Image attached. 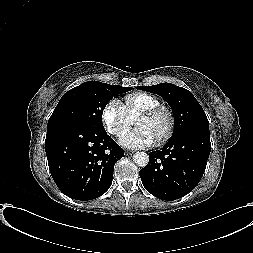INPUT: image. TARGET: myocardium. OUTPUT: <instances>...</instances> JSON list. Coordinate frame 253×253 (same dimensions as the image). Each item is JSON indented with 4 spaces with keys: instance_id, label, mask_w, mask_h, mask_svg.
<instances>
[{
    "instance_id": "1",
    "label": "myocardium",
    "mask_w": 253,
    "mask_h": 253,
    "mask_svg": "<svg viewBox=\"0 0 253 253\" xmlns=\"http://www.w3.org/2000/svg\"><path fill=\"white\" fill-rule=\"evenodd\" d=\"M161 114H165L167 116L168 123L163 134L157 140L158 144L165 143L173 134V131L175 128V116H174L173 111L166 106L158 105L152 108H148L139 113V116H144V117H156Z\"/></svg>"
}]
</instances>
